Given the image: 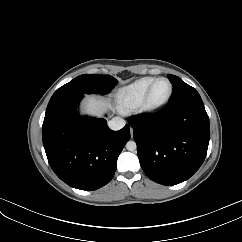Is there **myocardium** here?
<instances>
[{"mask_svg": "<svg viewBox=\"0 0 242 242\" xmlns=\"http://www.w3.org/2000/svg\"><path fill=\"white\" fill-rule=\"evenodd\" d=\"M160 80H165L168 82L169 84V91L168 94L166 95L165 98H163L162 100L159 101H155L152 98V93L154 90L155 85L157 84V82H159ZM173 94V85L171 83V81L167 78V77H158L155 78L154 81L151 83V85L149 86L142 102L140 103V105L138 106L141 112L144 113H153L156 112L160 109H162L171 99V96Z\"/></svg>", "mask_w": 242, "mask_h": 242, "instance_id": "1", "label": "myocardium"}]
</instances>
